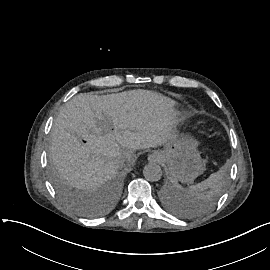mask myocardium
I'll use <instances>...</instances> for the list:
<instances>
[{
    "label": "myocardium",
    "mask_w": 270,
    "mask_h": 270,
    "mask_svg": "<svg viewBox=\"0 0 270 270\" xmlns=\"http://www.w3.org/2000/svg\"><path fill=\"white\" fill-rule=\"evenodd\" d=\"M184 140H189V138L188 137H185Z\"/></svg>",
    "instance_id": "f54148a6"
}]
</instances>
